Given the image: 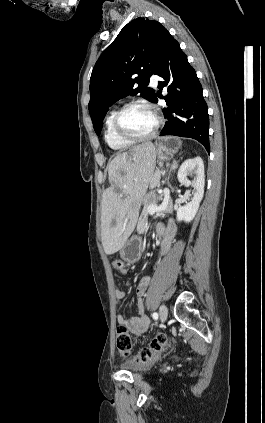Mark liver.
<instances>
[{
  "mask_svg": "<svg viewBox=\"0 0 265 423\" xmlns=\"http://www.w3.org/2000/svg\"><path fill=\"white\" fill-rule=\"evenodd\" d=\"M156 157L154 144L145 142L109 163L111 187L103 193L101 212V242L107 255L122 249L135 228L147 189L158 185L161 172L155 169Z\"/></svg>",
  "mask_w": 265,
  "mask_h": 423,
  "instance_id": "obj_1",
  "label": "liver"
}]
</instances>
